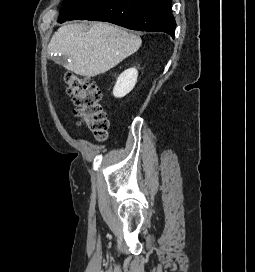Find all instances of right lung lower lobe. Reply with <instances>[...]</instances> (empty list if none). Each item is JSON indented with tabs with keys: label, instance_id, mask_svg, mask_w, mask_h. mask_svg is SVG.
<instances>
[{
	"label": "right lung lower lobe",
	"instance_id": "98d812e1",
	"mask_svg": "<svg viewBox=\"0 0 255 272\" xmlns=\"http://www.w3.org/2000/svg\"><path fill=\"white\" fill-rule=\"evenodd\" d=\"M74 19L110 22L132 30L162 31L172 37L176 28L171 0H90L66 20Z\"/></svg>",
	"mask_w": 255,
	"mask_h": 272
}]
</instances>
